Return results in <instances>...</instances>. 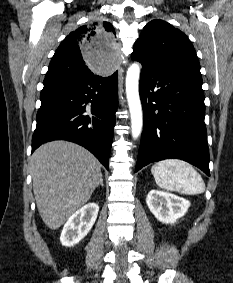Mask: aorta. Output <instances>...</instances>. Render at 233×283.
<instances>
[{
	"instance_id": "obj_1",
	"label": "aorta",
	"mask_w": 233,
	"mask_h": 283,
	"mask_svg": "<svg viewBox=\"0 0 233 283\" xmlns=\"http://www.w3.org/2000/svg\"><path fill=\"white\" fill-rule=\"evenodd\" d=\"M139 78L140 67L134 63L128 68L126 75V97L131 116V134L134 139L140 136L143 128V113L138 88Z\"/></svg>"
}]
</instances>
